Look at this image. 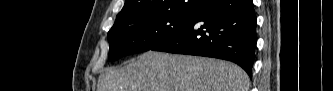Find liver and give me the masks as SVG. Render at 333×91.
<instances>
[{"label":"liver","mask_w":333,"mask_h":91,"mask_svg":"<svg viewBox=\"0 0 333 91\" xmlns=\"http://www.w3.org/2000/svg\"><path fill=\"white\" fill-rule=\"evenodd\" d=\"M239 66L212 58L147 51L99 76L97 91H248Z\"/></svg>","instance_id":"6515ba94"}]
</instances>
